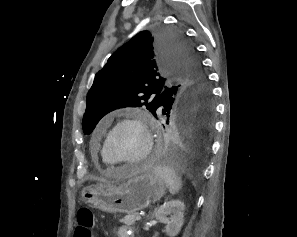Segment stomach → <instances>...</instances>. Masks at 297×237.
<instances>
[{"mask_svg":"<svg viewBox=\"0 0 297 237\" xmlns=\"http://www.w3.org/2000/svg\"><path fill=\"white\" fill-rule=\"evenodd\" d=\"M167 185L154 170L129 179L120 187L91 186L82 191V200L93 208L109 213L131 214L159 201Z\"/></svg>","mask_w":297,"mask_h":237,"instance_id":"0dacf381","label":"stomach"}]
</instances>
